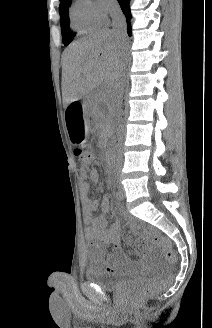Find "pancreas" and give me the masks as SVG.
I'll use <instances>...</instances> for the list:
<instances>
[{"mask_svg": "<svg viewBox=\"0 0 212 328\" xmlns=\"http://www.w3.org/2000/svg\"><path fill=\"white\" fill-rule=\"evenodd\" d=\"M103 101H107V99L104 95L97 94L94 97V115L98 118V125H99V128L101 129L100 138L105 137V135L108 131V123H109V116L105 115V113L101 112L98 109V104Z\"/></svg>", "mask_w": 212, "mask_h": 328, "instance_id": "pancreas-1", "label": "pancreas"}]
</instances>
